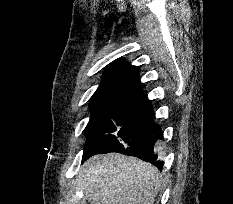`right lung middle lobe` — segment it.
<instances>
[{"label": "right lung middle lobe", "mask_w": 233, "mask_h": 204, "mask_svg": "<svg viewBox=\"0 0 233 204\" xmlns=\"http://www.w3.org/2000/svg\"><path fill=\"white\" fill-rule=\"evenodd\" d=\"M86 129V145L108 151L124 149L161 134L147 102L110 106L92 114Z\"/></svg>", "instance_id": "obj_1"}]
</instances>
